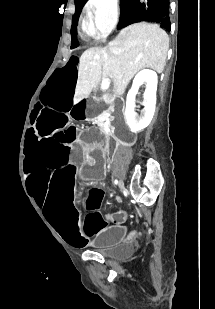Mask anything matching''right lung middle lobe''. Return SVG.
Listing matches in <instances>:
<instances>
[{
    "label": "right lung middle lobe",
    "mask_w": 215,
    "mask_h": 309,
    "mask_svg": "<svg viewBox=\"0 0 215 309\" xmlns=\"http://www.w3.org/2000/svg\"><path fill=\"white\" fill-rule=\"evenodd\" d=\"M86 1L87 0H78L77 2H75L76 12L74 14L73 26L71 27V36H72L71 48H75L78 46V41L76 37V26H77L78 18L81 13L82 7L84 6ZM132 1L133 0H121L120 10L123 11Z\"/></svg>",
    "instance_id": "obj_1"
}]
</instances>
